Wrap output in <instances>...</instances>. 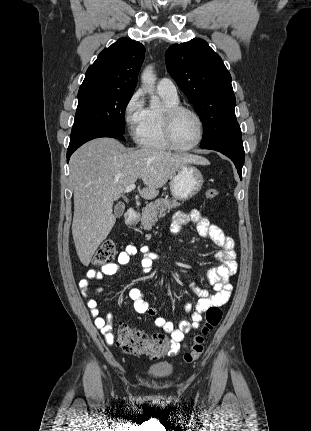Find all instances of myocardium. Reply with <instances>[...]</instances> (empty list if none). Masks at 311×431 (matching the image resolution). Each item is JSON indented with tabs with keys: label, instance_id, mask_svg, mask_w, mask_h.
<instances>
[{
	"label": "myocardium",
	"instance_id": "obj_1",
	"mask_svg": "<svg viewBox=\"0 0 311 431\" xmlns=\"http://www.w3.org/2000/svg\"><path fill=\"white\" fill-rule=\"evenodd\" d=\"M183 112H189L195 115L200 123V129H201L200 135L197 141L189 146H180L177 143L174 136V126H175L176 119ZM162 125H163L164 138L169 144V146L172 147L173 149L180 150V151H188L196 148L201 144L206 134V123L202 115L196 109L192 107L180 105V104L168 107L164 111Z\"/></svg>",
	"mask_w": 311,
	"mask_h": 431
}]
</instances>
